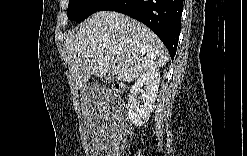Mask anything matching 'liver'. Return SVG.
Here are the masks:
<instances>
[{"label":"liver","mask_w":247,"mask_h":156,"mask_svg":"<svg viewBox=\"0 0 247 156\" xmlns=\"http://www.w3.org/2000/svg\"><path fill=\"white\" fill-rule=\"evenodd\" d=\"M69 71L76 88L92 75L123 82L138 79L169 60L157 35L140 22L113 11L94 13L66 34Z\"/></svg>","instance_id":"1"}]
</instances>
